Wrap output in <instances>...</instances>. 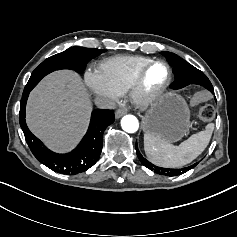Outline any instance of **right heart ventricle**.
<instances>
[{
  "instance_id": "1",
  "label": "right heart ventricle",
  "mask_w": 237,
  "mask_h": 237,
  "mask_svg": "<svg viewBox=\"0 0 237 237\" xmlns=\"http://www.w3.org/2000/svg\"><path fill=\"white\" fill-rule=\"evenodd\" d=\"M151 59L143 56H114L104 60L100 69L120 94L130 90L138 73Z\"/></svg>"
}]
</instances>
